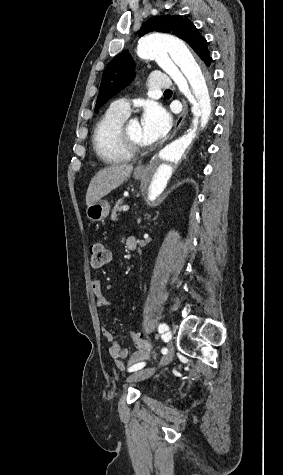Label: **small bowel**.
I'll list each match as a JSON object with an SVG mask.
<instances>
[{"instance_id": "c3829d8e", "label": "small bowel", "mask_w": 283, "mask_h": 475, "mask_svg": "<svg viewBox=\"0 0 283 475\" xmlns=\"http://www.w3.org/2000/svg\"><path fill=\"white\" fill-rule=\"evenodd\" d=\"M127 243V242H126ZM91 290L96 297V303L98 307H103L109 304V299L103 293L102 283L99 279H93L91 281ZM103 337L109 342V354L113 358L119 367H123L122 361L127 359V354L129 350L125 347H122L118 340L115 338L113 333L107 329H102ZM140 362H128L127 367L132 368Z\"/></svg>"}]
</instances>
